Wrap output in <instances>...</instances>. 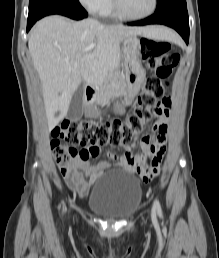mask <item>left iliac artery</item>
I'll use <instances>...</instances> for the list:
<instances>
[{"mask_svg":"<svg viewBox=\"0 0 219 258\" xmlns=\"http://www.w3.org/2000/svg\"><path fill=\"white\" fill-rule=\"evenodd\" d=\"M153 210H154L155 212H157V214H158L159 216H162L161 205H160V203H159L158 200H155V201H154Z\"/></svg>","mask_w":219,"mask_h":258,"instance_id":"left-iliac-artery-1","label":"left iliac artery"}]
</instances>
